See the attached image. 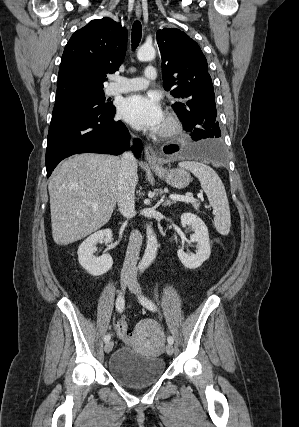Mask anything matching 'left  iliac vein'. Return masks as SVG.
I'll use <instances>...</instances> for the list:
<instances>
[{"label": "left iliac vein", "mask_w": 299, "mask_h": 427, "mask_svg": "<svg viewBox=\"0 0 299 427\" xmlns=\"http://www.w3.org/2000/svg\"><path fill=\"white\" fill-rule=\"evenodd\" d=\"M129 289L131 290V292H133L134 294H140V286L138 285V283L132 279H130L129 281ZM166 352L169 355H172L174 352V347L172 344L168 343L166 345Z\"/></svg>", "instance_id": "left-iliac-vein-1"}]
</instances>
